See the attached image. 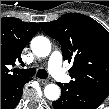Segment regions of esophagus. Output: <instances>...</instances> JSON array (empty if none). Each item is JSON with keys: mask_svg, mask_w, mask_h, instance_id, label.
I'll list each match as a JSON object with an SVG mask.
<instances>
[{"mask_svg": "<svg viewBox=\"0 0 109 109\" xmlns=\"http://www.w3.org/2000/svg\"><path fill=\"white\" fill-rule=\"evenodd\" d=\"M40 81L42 84L46 85V84H49L52 80L51 79H42Z\"/></svg>", "mask_w": 109, "mask_h": 109, "instance_id": "1", "label": "esophagus"}]
</instances>
